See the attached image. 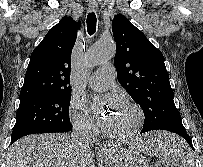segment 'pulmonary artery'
I'll return each instance as SVG.
<instances>
[{"mask_svg": "<svg viewBox=\"0 0 203 167\" xmlns=\"http://www.w3.org/2000/svg\"><path fill=\"white\" fill-rule=\"evenodd\" d=\"M115 79V67L107 64L99 68L90 78L89 84L95 90H105Z\"/></svg>", "mask_w": 203, "mask_h": 167, "instance_id": "obj_1", "label": "pulmonary artery"}]
</instances>
